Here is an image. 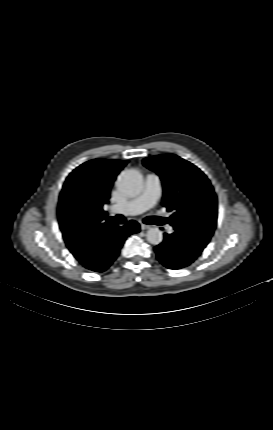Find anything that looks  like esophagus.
<instances>
[{
  "mask_svg": "<svg viewBox=\"0 0 273 430\" xmlns=\"http://www.w3.org/2000/svg\"><path fill=\"white\" fill-rule=\"evenodd\" d=\"M151 226L150 225H147V224H141V229L142 230H147V229H149Z\"/></svg>",
  "mask_w": 273,
  "mask_h": 430,
  "instance_id": "esophagus-1",
  "label": "esophagus"
}]
</instances>
